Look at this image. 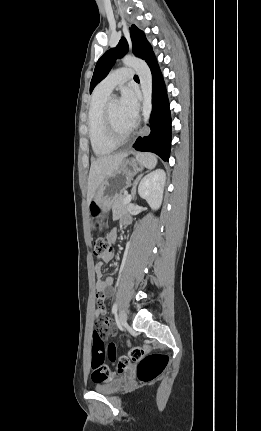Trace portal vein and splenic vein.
<instances>
[{
    "instance_id": "1",
    "label": "portal vein and splenic vein",
    "mask_w": 261,
    "mask_h": 431,
    "mask_svg": "<svg viewBox=\"0 0 261 431\" xmlns=\"http://www.w3.org/2000/svg\"><path fill=\"white\" fill-rule=\"evenodd\" d=\"M131 199H132V197H131V195H128V196H126V198L124 199V204H127V203H130L131 202Z\"/></svg>"
}]
</instances>
